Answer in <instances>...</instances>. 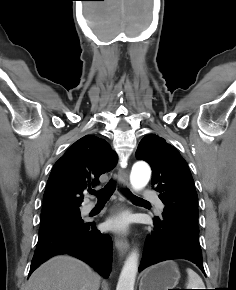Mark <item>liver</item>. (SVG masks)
<instances>
[{"label": "liver", "instance_id": "obj_1", "mask_svg": "<svg viewBox=\"0 0 236 290\" xmlns=\"http://www.w3.org/2000/svg\"><path fill=\"white\" fill-rule=\"evenodd\" d=\"M100 276L69 255L55 256L30 276L26 290H99Z\"/></svg>", "mask_w": 236, "mask_h": 290}]
</instances>
